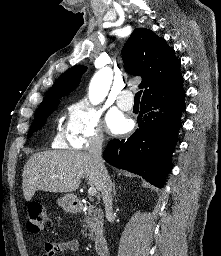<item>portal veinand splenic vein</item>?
<instances>
[{"label":"portal vein and splenic vein","mask_w":221,"mask_h":256,"mask_svg":"<svg viewBox=\"0 0 221 256\" xmlns=\"http://www.w3.org/2000/svg\"><path fill=\"white\" fill-rule=\"evenodd\" d=\"M88 194H89L90 196H95V195L97 194L96 188H95V187H90V188L88 189Z\"/></svg>","instance_id":"portal-vein-and-splenic-vein-1"}]
</instances>
